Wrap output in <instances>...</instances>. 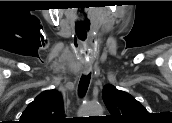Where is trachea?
<instances>
[{
  "label": "trachea",
  "instance_id": "3493384b",
  "mask_svg": "<svg viewBox=\"0 0 172 123\" xmlns=\"http://www.w3.org/2000/svg\"><path fill=\"white\" fill-rule=\"evenodd\" d=\"M91 73L88 76H82L79 82L78 86V92L80 97H83L88 89L89 83H90Z\"/></svg>",
  "mask_w": 172,
  "mask_h": 123
}]
</instances>
